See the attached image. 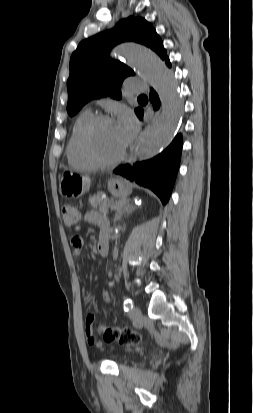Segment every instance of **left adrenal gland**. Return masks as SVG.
Wrapping results in <instances>:
<instances>
[{
  "mask_svg": "<svg viewBox=\"0 0 253 413\" xmlns=\"http://www.w3.org/2000/svg\"><path fill=\"white\" fill-rule=\"evenodd\" d=\"M135 206L129 203H125L124 207L117 211L114 222H117L121 219V217L125 214H131L135 210Z\"/></svg>",
  "mask_w": 253,
  "mask_h": 413,
  "instance_id": "left-adrenal-gland-1",
  "label": "left adrenal gland"
}]
</instances>
